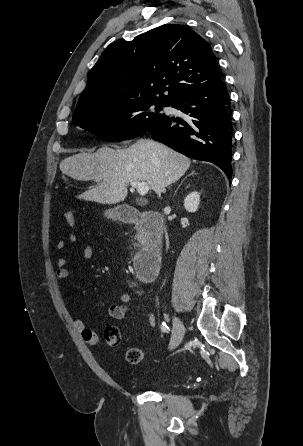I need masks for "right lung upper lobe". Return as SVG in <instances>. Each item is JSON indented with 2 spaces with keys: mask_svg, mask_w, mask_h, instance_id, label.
Listing matches in <instances>:
<instances>
[{
  "mask_svg": "<svg viewBox=\"0 0 303 446\" xmlns=\"http://www.w3.org/2000/svg\"><path fill=\"white\" fill-rule=\"evenodd\" d=\"M220 79L209 44L186 26L165 24L109 46L92 68L73 115L138 100L171 105Z\"/></svg>",
  "mask_w": 303,
  "mask_h": 446,
  "instance_id": "cb5924a9",
  "label": "right lung upper lobe"
}]
</instances>
